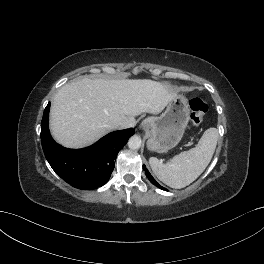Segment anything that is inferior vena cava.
Wrapping results in <instances>:
<instances>
[{"label": "inferior vena cava", "mask_w": 264, "mask_h": 264, "mask_svg": "<svg viewBox=\"0 0 264 264\" xmlns=\"http://www.w3.org/2000/svg\"><path fill=\"white\" fill-rule=\"evenodd\" d=\"M114 129H125L126 125L123 122H118L113 125Z\"/></svg>", "instance_id": "inferior-vena-cava-1"}]
</instances>
